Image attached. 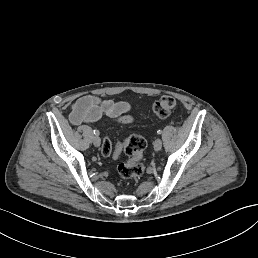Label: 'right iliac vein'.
I'll use <instances>...</instances> for the list:
<instances>
[{
	"mask_svg": "<svg viewBox=\"0 0 258 258\" xmlns=\"http://www.w3.org/2000/svg\"><path fill=\"white\" fill-rule=\"evenodd\" d=\"M92 140H93L95 146H100L101 145V139H100L99 136H97V135L94 136Z\"/></svg>",
	"mask_w": 258,
	"mask_h": 258,
	"instance_id": "1",
	"label": "right iliac vein"
}]
</instances>
